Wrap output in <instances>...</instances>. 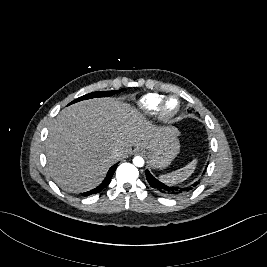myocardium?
<instances>
[{
  "label": "myocardium",
  "mask_w": 267,
  "mask_h": 267,
  "mask_svg": "<svg viewBox=\"0 0 267 267\" xmlns=\"http://www.w3.org/2000/svg\"><path fill=\"white\" fill-rule=\"evenodd\" d=\"M171 99H174L177 101V107L173 112H167L165 110V106H166V103ZM180 108H181V103H180L179 98L177 96H174V95H169V96H165L161 99V101L159 102V104L157 106L156 114L161 121L169 122V121L173 120L178 115Z\"/></svg>",
  "instance_id": "myocardium-1"
}]
</instances>
